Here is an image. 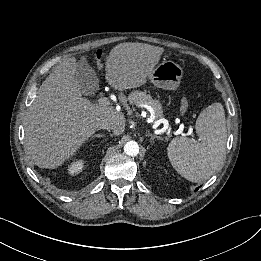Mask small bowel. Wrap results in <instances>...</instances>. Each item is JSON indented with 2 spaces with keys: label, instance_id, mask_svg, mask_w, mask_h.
<instances>
[{
  "label": "small bowel",
  "instance_id": "obj_1",
  "mask_svg": "<svg viewBox=\"0 0 261 261\" xmlns=\"http://www.w3.org/2000/svg\"><path fill=\"white\" fill-rule=\"evenodd\" d=\"M188 107V100L186 97H183L181 100V110L185 111Z\"/></svg>",
  "mask_w": 261,
  "mask_h": 261
}]
</instances>
